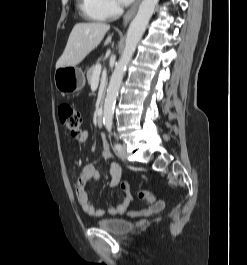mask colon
I'll use <instances>...</instances> for the list:
<instances>
[{
  "instance_id": "1",
  "label": "colon",
  "mask_w": 247,
  "mask_h": 265,
  "mask_svg": "<svg viewBox=\"0 0 247 265\" xmlns=\"http://www.w3.org/2000/svg\"><path fill=\"white\" fill-rule=\"evenodd\" d=\"M58 115L61 124L71 133V135L75 138H80L83 134L82 116L80 112L72 105L68 103H62L58 108ZM121 186L123 190H129L127 183H122ZM138 196L140 199H143L148 203H153L155 201V196L147 190L139 191Z\"/></svg>"
}]
</instances>
